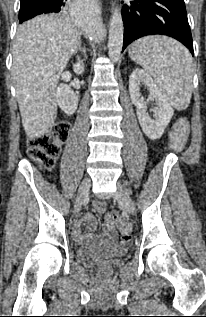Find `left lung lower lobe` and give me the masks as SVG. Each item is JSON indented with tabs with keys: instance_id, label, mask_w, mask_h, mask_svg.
<instances>
[{
	"instance_id": "left-lung-lower-lobe-1",
	"label": "left lung lower lobe",
	"mask_w": 206,
	"mask_h": 317,
	"mask_svg": "<svg viewBox=\"0 0 206 317\" xmlns=\"http://www.w3.org/2000/svg\"><path fill=\"white\" fill-rule=\"evenodd\" d=\"M123 50L147 35H167L184 44L194 55L191 32L183 0H133L122 8Z\"/></svg>"
}]
</instances>
